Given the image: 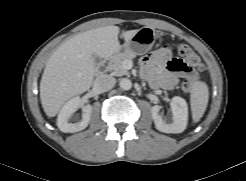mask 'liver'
Masks as SVG:
<instances>
[{
	"mask_svg": "<svg viewBox=\"0 0 246 181\" xmlns=\"http://www.w3.org/2000/svg\"><path fill=\"white\" fill-rule=\"evenodd\" d=\"M137 32H124L125 42ZM118 34L119 27L113 25L92 29L70 38L51 55L40 81V100L47 116H56L67 100L90 89L96 72L93 55L116 54L121 48Z\"/></svg>",
	"mask_w": 246,
	"mask_h": 181,
	"instance_id": "6515ba94",
	"label": "liver"
}]
</instances>
